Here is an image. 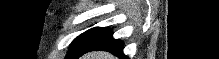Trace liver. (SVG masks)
Here are the masks:
<instances>
[{
  "instance_id": "1",
  "label": "liver",
  "mask_w": 219,
  "mask_h": 59,
  "mask_svg": "<svg viewBox=\"0 0 219 59\" xmlns=\"http://www.w3.org/2000/svg\"><path fill=\"white\" fill-rule=\"evenodd\" d=\"M81 59H116L112 54L103 51L90 52L82 56Z\"/></svg>"
}]
</instances>
